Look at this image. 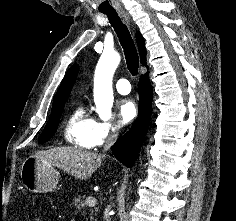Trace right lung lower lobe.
Here are the masks:
<instances>
[{
  "label": "right lung lower lobe",
  "mask_w": 236,
  "mask_h": 221,
  "mask_svg": "<svg viewBox=\"0 0 236 221\" xmlns=\"http://www.w3.org/2000/svg\"><path fill=\"white\" fill-rule=\"evenodd\" d=\"M139 116L131 129L112 147L115 157L127 167H132L146 135L152 108V87L148 72L139 81Z\"/></svg>",
  "instance_id": "right-lung-lower-lobe-1"
}]
</instances>
